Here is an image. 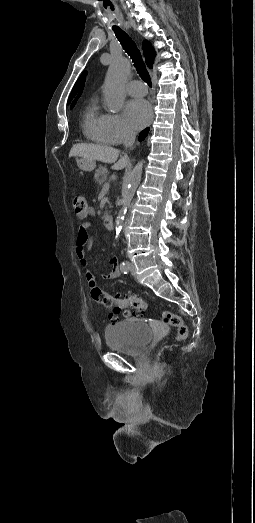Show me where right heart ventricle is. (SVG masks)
I'll use <instances>...</instances> for the list:
<instances>
[{"mask_svg":"<svg viewBox=\"0 0 255 523\" xmlns=\"http://www.w3.org/2000/svg\"><path fill=\"white\" fill-rule=\"evenodd\" d=\"M85 137L98 145H110L118 142L111 115L106 113L97 102L88 107L83 124Z\"/></svg>","mask_w":255,"mask_h":523,"instance_id":"obj_1","label":"right heart ventricle"}]
</instances>
